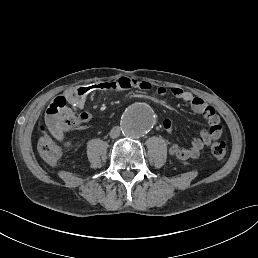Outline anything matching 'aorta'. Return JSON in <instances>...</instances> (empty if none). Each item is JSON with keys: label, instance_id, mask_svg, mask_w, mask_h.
<instances>
[{"label": "aorta", "instance_id": "1", "mask_svg": "<svg viewBox=\"0 0 258 258\" xmlns=\"http://www.w3.org/2000/svg\"><path fill=\"white\" fill-rule=\"evenodd\" d=\"M155 124L153 110L144 103L132 105L122 116L121 129L128 138L144 136Z\"/></svg>", "mask_w": 258, "mask_h": 258}]
</instances>
